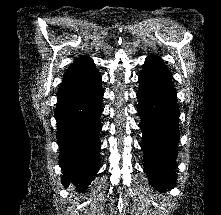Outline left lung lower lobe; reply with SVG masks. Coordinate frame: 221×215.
<instances>
[{"label": "left lung lower lobe", "instance_id": "0a47b994", "mask_svg": "<svg viewBox=\"0 0 221 215\" xmlns=\"http://www.w3.org/2000/svg\"><path fill=\"white\" fill-rule=\"evenodd\" d=\"M138 112L142 116L141 148L149 181L157 190L174 187V162L179 140L176 91L171 74L157 56L146 58L139 75Z\"/></svg>", "mask_w": 221, "mask_h": 215}]
</instances>
